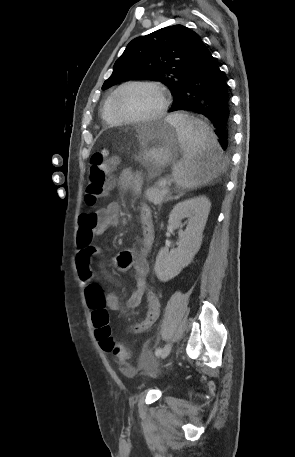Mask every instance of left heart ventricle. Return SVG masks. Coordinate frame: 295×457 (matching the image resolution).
<instances>
[{
  "label": "left heart ventricle",
  "instance_id": "obj_1",
  "mask_svg": "<svg viewBox=\"0 0 295 457\" xmlns=\"http://www.w3.org/2000/svg\"><path fill=\"white\" fill-rule=\"evenodd\" d=\"M161 105L160 92L152 86L136 85L125 88L117 98L118 110L125 116L145 117Z\"/></svg>",
  "mask_w": 295,
  "mask_h": 457
}]
</instances>
